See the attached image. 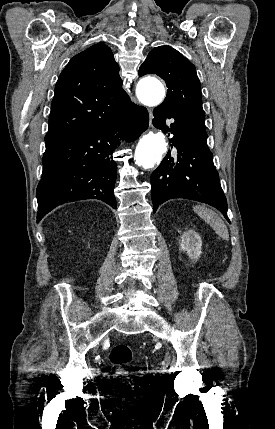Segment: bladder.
Listing matches in <instances>:
<instances>
[{"label":"bladder","mask_w":275,"mask_h":429,"mask_svg":"<svg viewBox=\"0 0 275 429\" xmlns=\"http://www.w3.org/2000/svg\"><path fill=\"white\" fill-rule=\"evenodd\" d=\"M132 396H133L134 398H139V397L141 396V391H140L139 389H134V390L132 391Z\"/></svg>","instance_id":"31cf9c89"}]
</instances>
